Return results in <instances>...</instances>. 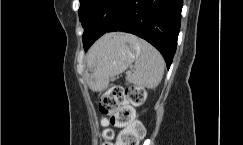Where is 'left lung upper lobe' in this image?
Wrapping results in <instances>:
<instances>
[{
  "label": "left lung upper lobe",
  "mask_w": 243,
  "mask_h": 145,
  "mask_svg": "<svg viewBox=\"0 0 243 145\" xmlns=\"http://www.w3.org/2000/svg\"><path fill=\"white\" fill-rule=\"evenodd\" d=\"M79 19L84 28L83 37L85 36V27L89 21L98 20V22L112 21L118 14L125 0H79ZM82 37V39H83Z\"/></svg>",
  "instance_id": "5c2ea615"
}]
</instances>
